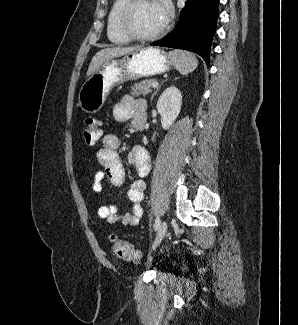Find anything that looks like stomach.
Wrapping results in <instances>:
<instances>
[{"label":"stomach","instance_id":"0dacf381","mask_svg":"<svg viewBox=\"0 0 298 325\" xmlns=\"http://www.w3.org/2000/svg\"><path fill=\"white\" fill-rule=\"evenodd\" d=\"M173 64L168 52L159 46H143L141 50L123 54L121 58H110L83 82L78 102L84 112H98L112 88L118 84L164 74Z\"/></svg>","mask_w":298,"mask_h":325}]
</instances>
